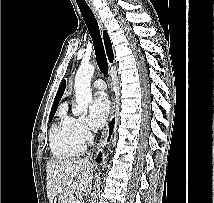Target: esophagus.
<instances>
[{
  "instance_id": "obj_1",
  "label": "esophagus",
  "mask_w": 214,
  "mask_h": 203,
  "mask_svg": "<svg viewBox=\"0 0 214 203\" xmlns=\"http://www.w3.org/2000/svg\"><path fill=\"white\" fill-rule=\"evenodd\" d=\"M90 7H91V10L93 11L96 19H97V22H98V25L100 27V30L103 31V29H104L103 21L100 18V15H99L97 9L93 5H91ZM115 107H116V102H115V97L113 95L112 96V107H111V118H110V120L112 119L113 114L115 112ZM108 130H109V124L107 125V128L102 133V138H101V140L99 142V145H98V151H100V149L102 148V146H103V144H104V142H105V140L107 138Z\"/></svg>"
}]
</instances>
